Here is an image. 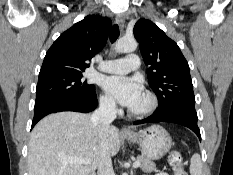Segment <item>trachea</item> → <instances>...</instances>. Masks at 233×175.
I'll use <instances>...</instances> for the list:
<instances>
[{"label":"trachea","instance_id":"trachea-1","mask_svg":"<svg viewBox=\"0 0 233 175\" xmlns=\"http://www.w3.org/2000/svg\"><path fill=\"white\" fill-rule=\"evenodd\" d=\"M119 37V27L118 25H113L111 32H110V42L114 43L117 38Z\"/></svg>","mask_w":233,"mask_h":175}]
</instances>
